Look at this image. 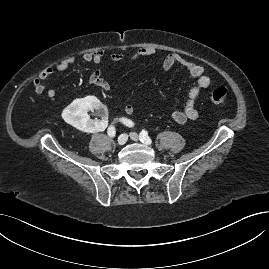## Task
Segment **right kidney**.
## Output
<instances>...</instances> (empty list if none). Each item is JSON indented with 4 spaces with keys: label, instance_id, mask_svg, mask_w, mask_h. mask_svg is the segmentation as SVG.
Instances as JSON below:
<instances>
[{
    "label": "right kidney",
    "instance_id": "1",
    "mask_svg": "<svg viewBox=\"0 0 269 269\" xmlns=\"http://www.w3.org/2000/svg\"><path fill=\"white\" fill-rule=\"evenodd\" d=\"M93 110L99 114L95 120L88 114ZM107 112L108 107L104 103L96 97L89 96L73 101L67 109L60 112V117L84 132H103L109 128V123L106 116L100 115H105Z\"/></svg>",
    "mask_w": 269,
    "mask_h": 269
}]
</instances>
